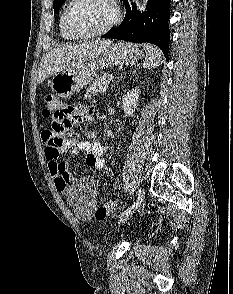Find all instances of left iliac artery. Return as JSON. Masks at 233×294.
Wrapping results in <instances>:
<instances>
[{
	"instance_id": "44dca946",
	"label": "left iliac artery",
	"mask_w": 233,
	"mask_h": 294,
	"mask_svg": "<svg viewBox=\"0 0 233 294\" xmlns=\"http://www.w3.org/2000/svg\"><path fill=\"white\" fill-rule=\"evenodd\" d=\"M143 199H144V192L139 190L138 191V198H137L136 202H134V204L131 207H129L128 209H126L124 212H122L120 214V216H122L125 213L130 212L132 209L137 208L142 203Z\"/></svg>"
}]
</instances>
